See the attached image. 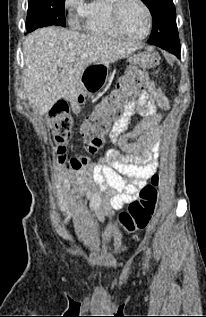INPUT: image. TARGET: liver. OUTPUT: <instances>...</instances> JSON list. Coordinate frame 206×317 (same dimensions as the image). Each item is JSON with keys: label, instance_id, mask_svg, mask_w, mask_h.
<instances>
[{"label": "liver", "instance_id": "1", "mask_svg": "<svg viewBox=\"0 0 206 317\" xmlns=\"http://www.w3.org/2000/svg\"><path fill=\"white\" fill-rule=\"evenodd\" d=\"M141 48L137 43L61 27L38 29L27 36L23 47L27 99L41 115L62 98L74 102L84 90L81 75L85 68L92 63L108 66ZM69 57L76 60L69 61Z\"/></svg>", "mask_w": 206, "mask_h": 317}]
</instances>
